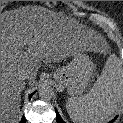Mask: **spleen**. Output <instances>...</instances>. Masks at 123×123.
<instances>
[{"label":"spleen","instance_id":"spleen-1","mask_svg":"<svg viewBox=\"0 0 123 123\" xmlns=\"http://www.w3.org/2000/svg\"><path fill=\"white\" fill-rule=\"evenodd\" d=\"M123 101V69L115 55L109 56L100 77L85 95L70 97L66 110L74 123H105Z\"/></svg>","mask_w":123,"mask_h":123}]
</instances>
